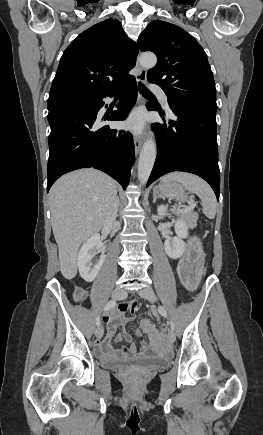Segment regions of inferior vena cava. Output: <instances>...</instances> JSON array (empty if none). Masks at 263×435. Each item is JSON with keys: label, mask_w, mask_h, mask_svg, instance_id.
Here are the masks:
<instances>
[{"label": "inferior vena cava", "mask_w": 263, "mask_h": 435, "mask_svg": "<svg viewBox=\"0 0 263 435\" xmlns=\"http://www.w3.org/2000/svg\"><path fill=\"white\" fill-rule=\"evenodd\" d=\"M118 205H119V201H118V199H117V200L112 204V206H111V208H110V210H109V212H108V214H107V217H106L105 223H107V224H113V223L115 222L116 217H117Z\"/></svg>", "instance_id": "602c4592"}]
</instances>
